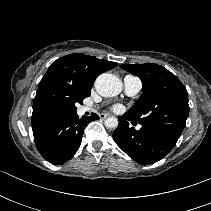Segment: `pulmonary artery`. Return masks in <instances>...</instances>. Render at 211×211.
Returning a JSON list of instances; mask_svg holds the SVG:
<instances>
[{
	"label": "pulmonary artery",
	"mask_w": 211,
	"mask_h": 211,
	"mask_svg": "<svg viewBox=\"0 0 211 211\" xmlns=\"http://www.w3.org/2000/svg\"><path fill=\"white\" fill-rule=\"evenodd\" d=\"M142 88V82L138 77L132 76V75H127L124 78V89H125V93L128 96H134L137 93H139V91ZM93 111L92 108L90 107H83L82 108V112H91Z\"/></svg>",
	"instance_id": "obj_1"
}]
</instances>
